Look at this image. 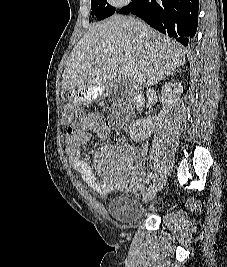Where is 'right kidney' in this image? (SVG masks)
<instances>
[{
  "instance_id": "ca27d5eb",
  "label": "right kidney",
  "mask_w": 227,
  "mask_h": 267,
  "mask_svg": "<svg viewBox=\"0 0 227 267\" xmlns=\"http://www.w3.org/2000/svg\"><path fill=\"white\" fill-rule=\"evenodd\" d=\"M182 92L183 87L181 83L174 81L166 83L162 87V94L164 96L163 111L153 118L138 119L129 130L131 139L135 142L147 139L154 132V129L166 115L169 108H174L176 103L180 101Z\"/></svg>"
}]
</instances>
